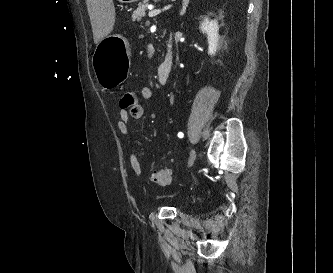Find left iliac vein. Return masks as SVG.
Instances as JSON below:
<instances>
[{"instance_id":"obj_1","label":"left iliac vein","mask_w":333,"mask_h":273,"mask_svg":"<svg viewBox=\"0 0 333 273\" xmlns=\"http://www.w3.org/2000/svg\"><path fill=\"white\" fill-rule=\"evenodd\" d=\"M195 159H196V151L194 149H192L191 153H190L189 160H188V166L189 167H191L194 164Z\"/></svg>"}]
</instances>
